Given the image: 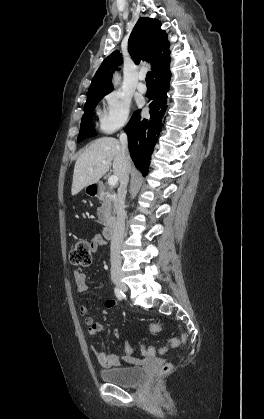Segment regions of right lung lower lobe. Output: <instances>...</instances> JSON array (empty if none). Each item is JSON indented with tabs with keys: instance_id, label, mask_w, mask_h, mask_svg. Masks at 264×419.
Returning <instances> with one entry per match:
<instances>
[{
	"instance_id": "98d812e1",
	"label": "right lung lower lobe",
	"mask_w": 264,
	"mask_h": 419,
	"mask_svg": "<svg viewBox=\"0 0 264 419\" xmlns=\"http://www.w3.org/2000/svg\"><path fill=\"white\" fill-rule=\"evenodd\" d=\"M170 76V71H168L153 80L154 95L153 101L149 104L150 118L141 119L140 110H137L125 129L132 160L143 175L147 174L151 153L161 130Z\"/></svg>"
}]
</instances>
